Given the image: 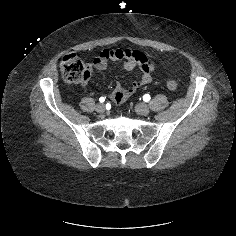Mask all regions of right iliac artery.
<instances>
[{"label": "right iliac artery", "mask_w": 236, "mask_h": 236, "mask_svg": "<svg viewBox=\"0 0 236 236\" xmlns=\"http://www.w3.org/2000/svg\"><path fill=\"white\" fill-rule=\"evenodd\" d=\"M99 101H100L101 103H103V102L105 101V98H104V97H100V98H99Z\"/></svg>", "instance_id": "right-iliac-artery-1"}]
</instances>
